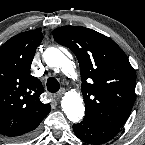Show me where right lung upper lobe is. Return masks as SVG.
<instances>
[{
  "label": "right lung upper lobe",
  "mask_w": 145,
  "mask_h": 145,
  "mask_svg": "<svg viewBox=\"0 0 145 145\" xmlns=\"http://www.w3.org/2000/svg\"><path fill=\"white\" fill-rule=\"evenodd\" d=\"M41 28L20 33L0 47V135L14 138L35 130L50 112L39 100L44 91L39 79L30 75Z\"/></svg>",
  "instance_id": "right-lung-upper-lobe-1"
}]
</instances>
